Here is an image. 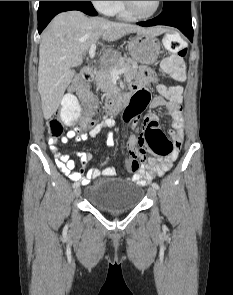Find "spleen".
Masks as SVG:
<instances>
[{"label":"spleen","instance_id":"obj_1","mask_svg":"<svg viewBox=\"0 0 233 295\" xmlns=\"http://www.w3.org/2000/svg\"><path fill=\"white\" fill-rule=\"evenodd\" d=\"M171 40H172V38L171 37H169V36H167L166 38H165V44H166V46H170V44H171Z\"/></svg>","mask_w":233,"mask_h":295}]
</instances>
